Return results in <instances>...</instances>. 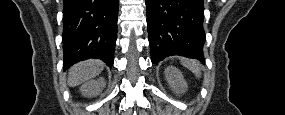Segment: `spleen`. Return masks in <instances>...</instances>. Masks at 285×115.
<instances>
[{"label": "spleen", "instance_id": "spleen-1", "mask_svg": "<svg viewBox=\"0 0 285 115\" xmlns=\"http://www.w3.org/2000/svg\"><path fill=\"white\" fill-rule=\"evenodd\" d=\"M183 66L191 70L197 78L201 77V65L199 62L192 59H182Z\"/></svg>", "mask_w": 285, "mask_h": 115}]
</instances>
